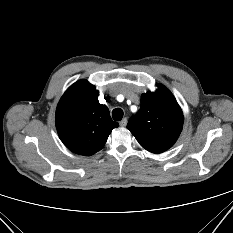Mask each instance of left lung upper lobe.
I'll return each instance as SVG.
<instances>
[{
    "mask_svg": "<svg viewBox=\"0 0 233 233\" xmlns=\"http://www.w3.org/2000/svg\"><path fill=\"white\" fill-rule=\"evenodd\" d=\"M182 126V111L169 89L161 84L155 92L141 96L140 110L127 124L139 144L156 154L176 142Z\"/></svg>",
    "mask_w": 233,
    "mask_h": 233,
    "instance_id": "5c2ea615",
    "label": "left lung upper lobe"
}]
</instances>
